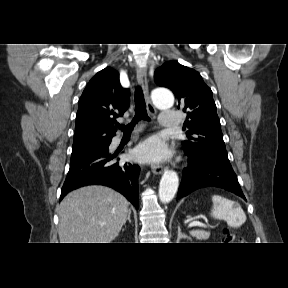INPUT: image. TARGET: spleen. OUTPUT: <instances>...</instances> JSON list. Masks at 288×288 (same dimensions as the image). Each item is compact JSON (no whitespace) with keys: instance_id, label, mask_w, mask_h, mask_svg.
<instances>
[{"instance_id":"spleen-1","label":"spleen","mask_w":288,"mask_h":288,"mask_svg":"<svg viewBox=\"0 0 288 288\" xmlns=\"http://www.w3.org/2000/svg\"><path fill=\"white\" fill-rule=\"evenodd\" d=\"M211 216L224 220L230 227L238 228L246 221V215L239 203L220 195L212 196Z\"/></svg>"}]
</instances>
